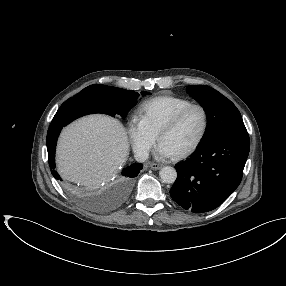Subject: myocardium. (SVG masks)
Returning <instances> with one entry per match:
<instances>
[{"instance_id": "1", "label": "myocardium", "mask_w": 286, "mask_h": 286, "mask_svg": "<svg viewBox=\"0 0 286 286\" xmlns=\"http://www.w3.org/2000/svg\"><path fill=\"white\" fill-rule=\"evenodd\" d=\"M192 109H199L201 110L202 114H203V127L201 130L200 135L198 136V138L196 139V141L190 145L188 148L179 151L177 153H174L173 156L176 158H180V157H184L187 156L191 153H193L203 142V140L205 139L208 129H209V114L207 109L201 105V104H190L184 108H182L181 110H179L178 112H176L170 119H168L159 129L158 133H157V141L158 143H160L162 136L168 132L169 130H171L172 128H174L179 122L180 120Z\"/></svg>"}]
</instances>
